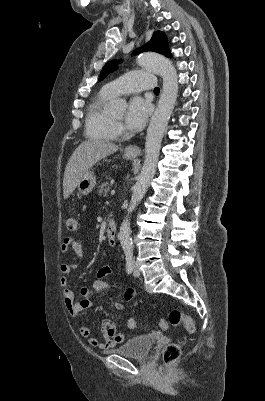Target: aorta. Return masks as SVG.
I'll use <instances>...</instances> for the list:
<instances>
[{
    "mask_svg": "<svg viewBox=\"0 0 265 401\" xmlns=\"http://www.w3.org/2000/svg\"><path fill=\"white\" fill-rule=\"evenodd\" d=\"M137 62L139 66H145L151 72H158L163 78V86L157 108L147 128L145 160L142 170L136 184L132 186L131 201L129 209H127L128 215L123 223H121L118 235L125 255H133V243L130 237V215L135 211L137 205H139L141 198L146 194L147 188H149L154 178L162 138L178 96V76L172 60H169L166 56H162V54H156V52H145V54L138 56Z\"/></svg>",
    "mask_w": 265,
    "mask_h": 401,
    "instance_id": "1",
    "label": "aorta"
}]
</instances>
